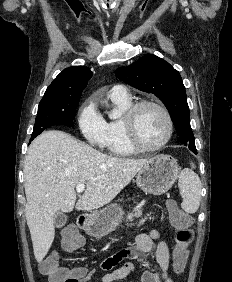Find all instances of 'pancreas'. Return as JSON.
Masks as SVG:
<instances>
[{
  "label": "pancreas",
  "instance_id": "pancreas-1",
  "mask_svg": "<svg viewBox=\"0 0 232 282\" xmlns=\"http://www.w3.org/2000/svg\"><path fill=\"white\" fill-rule=\"evenodd\" d=\"M151 214H147V216H149ZM141 216V212H135V213H130L128 216H127V221L129 220L130 222H132L134 220V218H138ZM147 217H144L142 218L139 223H138V226L140 225H143L146 221ZM134 224L131 223V224H127V226H133Z\"/></svg>",
  "mask_w": 232,
  "mask_h": 282
}]
</instances>
